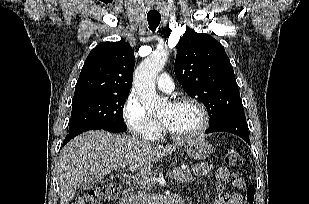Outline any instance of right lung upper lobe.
Masks as SVG:
<instances>
[{
	"mask_svg": "<svg viewBox=\"0 0 309 204\" xmlns=\"http://www.w3.org/2000/svg\"><path fill=\"white\" fill-rule=\"evenodd\" d=\"M134 65V51L128 43L98 44L86 58L72 103L104 95L129 94Z\"/></svg>",
	"mask_w": 309,
	"mask_h": 204,
	"instance_id": "cb5924a9",
	"label": "right lung upper lobe"
}]
</instances>
